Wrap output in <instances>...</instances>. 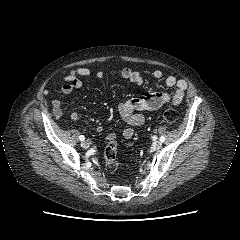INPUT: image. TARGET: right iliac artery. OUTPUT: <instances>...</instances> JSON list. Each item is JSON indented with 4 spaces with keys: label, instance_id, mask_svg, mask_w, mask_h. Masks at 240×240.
<instances>
[{
    "label": "right iliac artery",
    "instance_id": "82829eb1",
    "mask_svg": "<svg viewBox=\"0 0 240 240\" xmlns=\"http://www.w3.org/2000/svg\"><path fill=\"white\" fill-rule=\"evenodd\" d=\"M79 139H80L81 141H84V140H85V137H84L83 135H80V136H79Z\"/></svg>",
    "mask_w": 240,
    "mask_h": 240
}]
</instances>
